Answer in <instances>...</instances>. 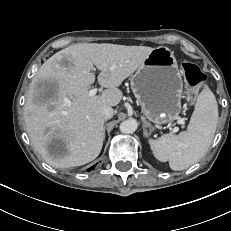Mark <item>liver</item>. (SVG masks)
<instances>
[{
	"label": "liver",
	"instance_id": "obj_1",
	"mask_svg": "<svg viewBox=\"0 0 231 231\" xmlns=\"http://www.w3.org/2000/svg\"><path fill=\"white\" fill-rule=\"evenodd\" d=\"M155 48L108 43L71 45L51 56L34 76L24 106L26 130L36 151L56 168L81 166L100 153L105 134L103 107L120 103L118 88ZM101 95L89 96L95 81ZM53 84L52 96L36 102L38 86ZM42 88H44L42 86ZM59 143L60 148H55Z\"/></svg>",
	"mask_w": 231,
	"mask_h": 231
}]
</instances>
